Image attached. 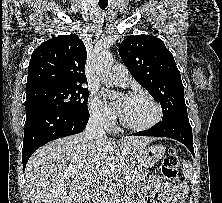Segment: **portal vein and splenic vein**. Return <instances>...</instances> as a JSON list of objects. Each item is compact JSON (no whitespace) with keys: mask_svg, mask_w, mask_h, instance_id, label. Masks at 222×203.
Returning <instances> with one entry per match:
<instances>
[{"mask_svg":"<svg viewBox=\"0 0 222 203\" xmlns=\"http://www.w3.org/2000/svg\"><path fill=\"white\" fill-rule=\"evenodd\" d=\"M125 180L129 181V177H126Z\"/></svg>","mask_w":222,"mask_h":203,"instance_id":"1","label":"portal vein and splenic vein"}]
</instances>
